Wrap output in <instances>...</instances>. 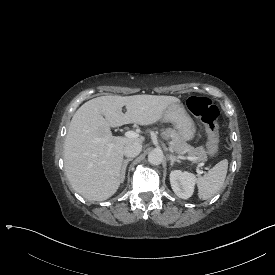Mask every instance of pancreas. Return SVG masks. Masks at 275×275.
Listing matches in <instances>:
<instances>
[{"label": "pancreas", "mask_w": 275, "mask_h": 275, "mask_svg": "<svg viewBox=\"0 0 275 275\" xmlns=\"http://www.w3.org/2000/svg\"><path fill=\"white\" fill-rule=\"evenodd\" d=\"M163 139L171 138L170 148L178 154L188 153L191 157H197L198 161H207V154L205 149L200 146L197 148L192 147L179 135V133L171 128H167L161 133Z\"/></svg>", "instance_id": "pancreas-1"}]
</instances>
